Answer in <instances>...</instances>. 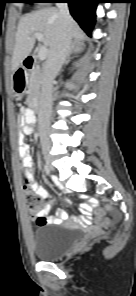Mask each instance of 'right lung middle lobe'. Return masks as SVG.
I'll list each match as a JSON object with an SVG mask.
<instances>
[{
  "label": "right lung middle lobe",
  "instance_id": "right-lung-middle-lobe-1",
  "mask_svg": "<svg viewBox=\"0 0 136 296\" xmlns=\"http://www.w3.org/2000/svg\"><path fill=\"white\" fill-rule=\"evenodd\" d=\"M43 1L45 0H20V2H23V3H38Z\"/></svg>",
  "mask_w": 136,
  "mask_h": 296
}]
</instances>
